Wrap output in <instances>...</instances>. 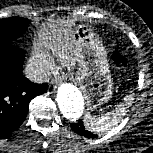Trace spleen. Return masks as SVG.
<instances>
[{
  "label": "spleen",
  "instance_id": "spleen-1",
  "mask_svg": "<svg viewBox=\"0 0 153 153\" xmlns=\"http://www.w3.org/2000/svg\"><path fill=\"white\" fill-rule=\"evenodd\" d=\"M123 100L124 102L118 104L114 110L99 116H92L89 112H86L84 116L85 127L92 132L103 134L116 126L127 114L128 106L134 100V94L130 93L126 95Z\"/></svg>",
  "mask_w": 153,
  "mask_h": 153
}]
</instances>
